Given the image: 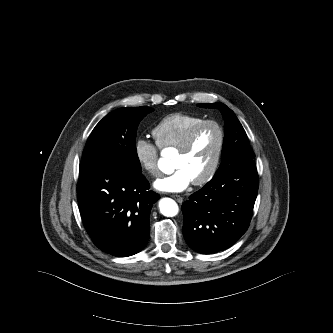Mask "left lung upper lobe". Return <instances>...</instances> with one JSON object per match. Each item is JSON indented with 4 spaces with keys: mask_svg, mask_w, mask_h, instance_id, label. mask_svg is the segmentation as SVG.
<instances>
[{
    "mask_svg": "<svg viewBox=\"0 0 333 333\" xmlns=\"http://www.w3.org/2000/svg\"><path fill=\"white\" fill-rule=\"evenodd\" d=\"M198 106L203 108H217L222 112L224 117L225 136L221 165L217 172L232 163L254 159L255 155L250 148L246 132L231 109L222 103L198 104Z\"/></svg>",
    "mask_w": 333,
    "mask_h": 333,
    "instance_id": "left-lung-upper-lobe-1",
    "label": "left lung upper lobe"
}]
</instances>
